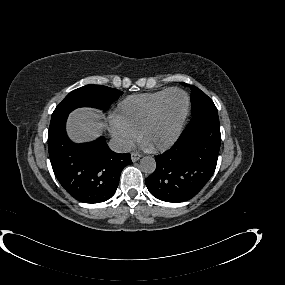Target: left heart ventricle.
Wrapping results in <instances>:
<instances>
[{
    "label": "left heart ventricle",
    "mask_w": 285,
    "mask_h": 285,
    "mask_svg": "<svg viewBox=\"0 0 285 285\" xmlns=\"http://www.w3.org/2000/svg\"><path fill=\"white\" fill-rule=\"evenodd\" d=\"M185 108V96L178 91L170 93L163 104L159 117L145 132L143 142L154 146L172 138Z\"/></svg>",
    "instance_id": "obj_1"
}]
</instances>
